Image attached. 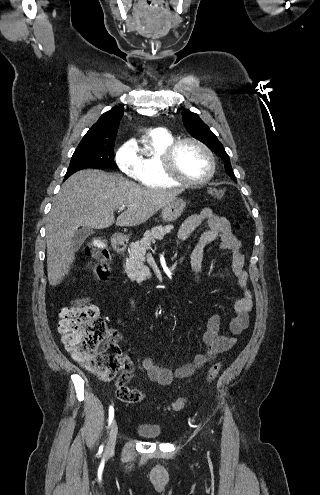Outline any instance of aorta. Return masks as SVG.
<instances>
[{"label": "aorta", "instance_id": "762f6f07", "mask_svg": "<svg viewBox=\"0 0 320 495\" xmlns=\"http://www.w3.org/2000/svg\"><path fill=\"white\" fill-rule=\"evenodd\" d=\"M148 112L149 113H155V110L150 109V110H148Z\"/></svg>", "mask_w": 320, "mask_h": 495}]
</instances>
